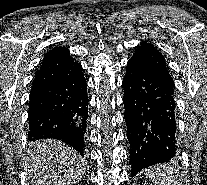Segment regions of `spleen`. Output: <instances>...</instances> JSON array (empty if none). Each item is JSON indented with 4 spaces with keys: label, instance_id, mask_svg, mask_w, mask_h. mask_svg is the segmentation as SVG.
<instances>
[{
    "label": "spleen",
    "instance_id": "obj_1",
    "mask_svg": "<svg viewBox=\"0 0 207 185\" xmlns=\"http://www.w3.org/2000/svg\"><path fill=\"white\" fill-rule=\"evenodd\" d=\"M146 171L147 172L141 173L142 177H146V179H155V183L160 181L163 185L164 183H168V179H180V174H176V170H174L173 166H148Z\"/></svg>",
    "mask_w": 207,
    "mask_h": 185
}]
</instances>
